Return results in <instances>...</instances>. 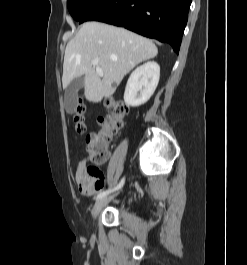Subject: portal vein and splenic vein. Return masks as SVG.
<instances>
[{"label":"portal vein and splenic vein","instance_id":"obj_1","mask_svg":"<svg viewBox=\"0 0 247 265\" xmlns=\"http://www.w3.org/2000/svg\"><path fill=\"white\" fill-rule=\"evenodd\" d=\"M92 64H93L94 66H96V72L98 73V75H99L100 77H103V75H104L103 70L98 66L97 61H92Z\"/></svg>","mask_w":247,"mask_h":265}]
</instances>
